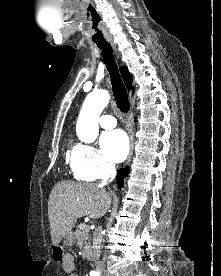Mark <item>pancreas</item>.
<instances>
[{
  "instance_id": "cf45deb5",
  "label": "pancreas",
  "mask_w": 221,
  "mask_h": 276,
  "mask_svg": "<svg viewBox=\"0 0 221 276\" xmlns=\"http://www.w3.org/2000/svg\"><path fill=\"white\" fill-rule=\"evenodd\" d=\"M75 238L77 240V245L80 247H85L88 249L90 240H89V227L87 225L80 224L75 231Z\"/></svg>"
}]
</instances>
